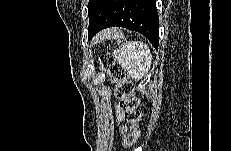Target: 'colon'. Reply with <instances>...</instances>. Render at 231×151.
I'll list each match as a JSON object with an SVG mask.
<instances>
[{
	"label": "colon",
	"mask_w": 231,
	"mask_h": 151,
	"mask_svg": "<svg viewBox=\"0 0 231 151\" xmlns=\"http://www.w3.org/2000/svg\"><path fill=\"white\" fill-rule=\"evenodd\" d=\"M101 67L117 82L116 95L124 112V118L129 123V131L124 135V147L132 146L139 137L138 123L141 113L137 108V100L133 97L134 84L126 77L120 64L111 56L103 55L100 58Z\"/></svg>",
	"instance_id": "1"
}]
</instances>
